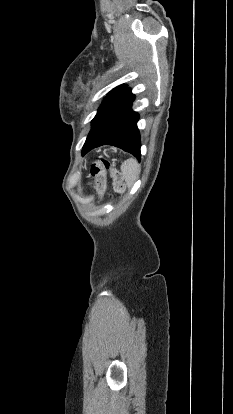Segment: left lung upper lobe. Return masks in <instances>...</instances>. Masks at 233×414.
Listing matches in <instances>:
<instances>
[{"label": "left lung upper lobe", "instance_id": "obj_1", "mask_svg": "<svg viewBox=\"0 0 233 414\" xmlns=\"http://www.w3.org/2000/svg\"><path fill=\"white\" fill-rule=\"evenodd\" d=\"M124 89H126V86H125V85H120V86H118V87L114 88L113 90H111V91L109 92V95H110V94H114V93L119 92V91H122V90H124Z\"/></svg>", "mask_w": 233, "mask_h": 414}]
</instances>
